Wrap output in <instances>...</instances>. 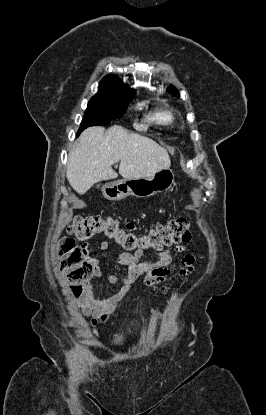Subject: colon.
I'll return each mask as SVG.
<instances>
[{
	"instance_id": "5ec220e1",
	"label": "colon",
	"mask_w": 266,
	"mask_h": 415,
	"mask_svg": "<svg viewBox=\"0 0 266 415\" xmlns=\"http://www.w3.org/2000/svg\"><path fill=\"white\" fill-rule=\"evenodd\" d=\"M70 237L63 238L59 244L61 271L70 281L73 292L79 293L82 285L89 280L93 265L84 247L76 244L97 235L113 240L125 251L162 249L191 239L189 222L178 218L151 228L142 236H137L129 228H124L113 217L78 216L69 226Z\"/></svg>"
}]
</instances>
